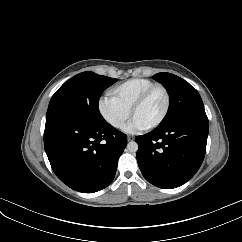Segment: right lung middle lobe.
I'll return each mask as SVG.
<instances>
[{
    "label": "right lung middle lobe",
    "instance_id": "obj_1",
    "mask_svg": "<svg viewBox=\"0 0 242 242\" xmlns=\"http://www.w3.org/2000/svg\"><path fill=\"white\" fill-rule=\"evenodd\" d=\"M117 79L82 72L66 81L52 96L46 114V122L75 118L93 123L106 122L101 116L98 101L104 89Z\"/></svg>",
    "mask_w": 242,
    "mask_h": 242
}]
</instances>
